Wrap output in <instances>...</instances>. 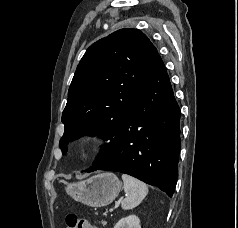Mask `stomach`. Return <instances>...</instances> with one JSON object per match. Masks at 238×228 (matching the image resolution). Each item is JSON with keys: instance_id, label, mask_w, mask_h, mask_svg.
Masks as SVG:
<instances>
[{"instance_id": "obj_1", "label": "stomach", "mask_w": 238, "mask_h": 228, "mask_svg": "<svg viewBox=\"0 0 238 228\" xmlns=\"http://www.w3.org/2000/svg\"><path fill=\"white\" fill-rule=\"evenodd\" d=\"M122 187L119 178L109 172L97 174L86 180L66 184L70 197L90 207L107 206L118 196Z\"/></svg>"}]
</instances>
